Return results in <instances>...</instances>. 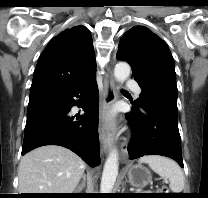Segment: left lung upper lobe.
Returning a JSON list of instances; mask_svg holds the SVG:
<instances>
[{"label": "left lung upper lobe", "instance_id": "obj_1", "mask_svg": "<svg viewBox=\"0 0 208 198\" xmlns=\"http://www.w3.org/2000/svg\"><path fill=\"white\" fill-rule=\"evenodd\" d=\"M117 58L130 64L134 79L142 88L133 104L155 100L177 114V86L173 57L167 45L151 30L134 26L126 31L119 43Z\"/></svg>", "mask_w": 208, "mask_h": 198}]
</instances>
